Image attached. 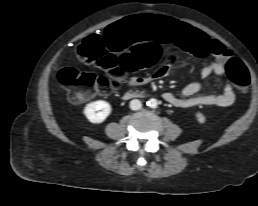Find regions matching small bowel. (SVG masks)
<instances>
[{"label": "small bowel", "instance_id": "small-bowel-1", "mask_svg": "<svg viewBox=\"0 0 258 206\" xmlns=\"http://www.w3.org/2000/svg\"><path fill=\"white\" fill-rule=\"evenodd\" d=\"M87 40L103 42L107 47L115 51H121L123 49L122 44L118 41L115 32L112 29H109L105 33L104 39L90 37ZM168 41L174 42L175 45L190 53L196 55L211 54L214 57V61L202 69V77H207L209 75H214L219 78L223 77L225 74V65L233 56L232 51L226 48L222 43L215 39H210L202 31L190 26H183L181 31L176 36L171 37ZM175 61L176 57L172 55L169 63L160 67L151 76L129 77L126 80V84L131 87H138L149 84L155 79L164 78L171 72ZM200 90L201 84L199 82H192L181 90L180 97H177L172 92H165L163 93V99L179 108H191L196 106L228 107L235 101V93L230 84L224 86L221 94L199 95L198 93Z\"/></svg>", "mask_w": 258, "mask_h": 206}]
</instances>
